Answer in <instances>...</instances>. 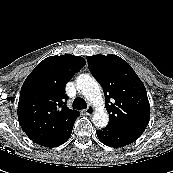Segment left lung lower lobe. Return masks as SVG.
<instances>
[{"instance_id": "left-lung-lower-lobe-1", "label": "left lung lower lobe", "mask_w": 173, "mask_h": 173, "mask_svg": "<svg viewBox=\"0 0 173 173\" xmlns=\"http://www.w3.org/2000/svg\"><path fill=\"white\" fill-rule=\"evenodd\" d=\"M96 133L98 139L103 144L110 147L126 146L133 143L138 138L137 136L126 134L107 126L101 130H96Z\"/></svg>"}]
</instances>
